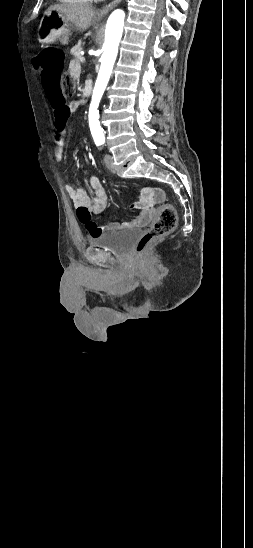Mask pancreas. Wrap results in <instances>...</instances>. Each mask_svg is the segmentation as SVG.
Masks as SVG:
<instances>
[{"instance_id":"obj_1","label":"pancreas","mask_w":253,"mask_h":548,"mask_svg":"<svg viewBox=\"0 0 253 548\" xmlns=\"http://www.w3.org/2000/svg\"><path fill=\"white\" fill-rule=\"evenodd\" d=\"M81 51H82L81 44H77L71 49V54L74 56L76 61H80Z\"/></svg>"}]
</instances>
